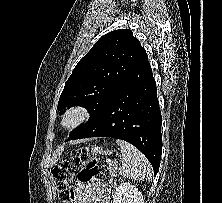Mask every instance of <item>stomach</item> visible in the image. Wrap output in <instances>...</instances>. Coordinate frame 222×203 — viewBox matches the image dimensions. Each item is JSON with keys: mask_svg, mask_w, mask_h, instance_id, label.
Instances as JSON below:
<instances>
[{"mask_svg": "<svg viewBox=\"0 0 222 203\" xmlns=\"http://www.w3.org/2000/svg\"><path fill=\"white\" fill-rule=\"evenodd\" d=\"M91 152L93 153V154H97V153H99V154H111V151H109V150H103V148H101V147H92L91 148Z\"/></svg>", "mask_w": 222, "mask_h": 203, "instance_id": "stomach-1", "label": "stomach"}]
</instances>
